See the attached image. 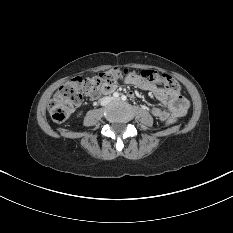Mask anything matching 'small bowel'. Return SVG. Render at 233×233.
I'll list each match as a JSON object with an SVG mask.
<instances>
[{
    "mask_svg": "<svg viewBox=\"0 0 233 233\" xmlns=\"http://www.w3.org/2000/svg\"><path fill=\"white\" fill-rule=\"evenodd\" d=\"M121 82L152 92L163 104L164 109L153 106L150 109V113L161 121L171 118L176 119L184 116L188 111L189 102L186 98L180 94H174L166 88L157 87L143 81L139 78V74L136 71L126 72L125 76L121 77Z\"/></svg>",
    "mask_w": 233,
    "mask_h": 233,
    "instance_id": "obj_1",
    "label": "small bowel"
}]
</instances>
